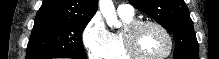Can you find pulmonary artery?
<instances>
[{
    "mask_svg": "<svg viewBox=\"0 0 219 59\" xmlns=\"http://www.w3.org/2000/svg\"><path fill=\"white\" fill-rule=\"evenodd\" d=\"M117 11L119 14L133 15L134 14V7L130 4H120L117 7Z\"/></svg>",
    "mask_w": 219,
    "mask_h": 59,
    "instance_id": "e3ab8cb5",
    "label": "pulmonary artery"
}]
</instances>
